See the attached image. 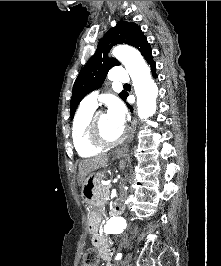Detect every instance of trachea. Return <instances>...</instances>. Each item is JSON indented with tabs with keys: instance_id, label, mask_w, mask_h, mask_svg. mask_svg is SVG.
I'll return each mask as SVG.
<instances>
[{
	"instance_id": "1",
	"label": "trachea",
	"mask_w": 221,
	"mask_h": 266,
	"mask_svg": "<svg viewBox=\"0 0 221 266\" xmlns=\"http://www.w3.org/2000/svg\"><path fill=\"white\" fill-rule=\"evenodd\" d=\"M124 86H130V84H124Z\"/></svg>"
}]
</instances>
